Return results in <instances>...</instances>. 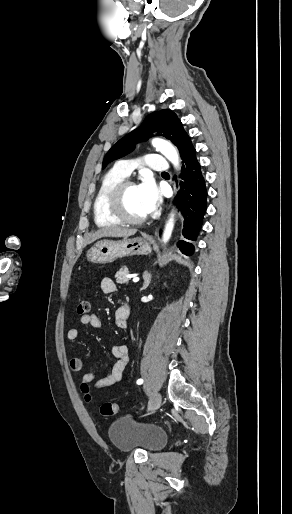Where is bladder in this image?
I'll use <instances>...</instances> for the list:
<instances>
[{
    "instance_id": "31cf9c89",
    "label": "bladder",
    "mask_w": 292,
    "mask_h": 514,
    "mask_svg": "<svg viewBox=\"0 0 292 514\" xmlns=\"http://www.w3.org/2000/svg\"><path fill=\"white\" fill-rule=\"evenodd\" d=\"M107 435L110 442L124 452L136 449L154 452L161 449L167 441V435L162 429L141 423L129 415L112 422Z\"/></svg>"
}]
</instances>
